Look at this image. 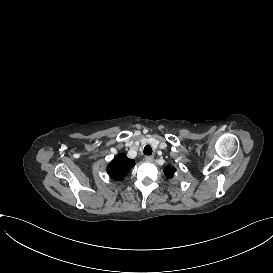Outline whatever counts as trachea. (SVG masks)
I'll return each instance as SVG.
<instances>
[{"mask_svg":"<svg viewBox=\"0 0 273 273\" xmlns=\"http://www.w3.org/2000/svg\"><path fill=\"white\" fill-rule=\"evenodd\" d=\"M143 152L145 155H151L152 154V147L150 145H146Z\"/></svg>","mask_w":273,"mask_h":273,"instance_id":"3493384b","label":"trachea"}]
</instances>
